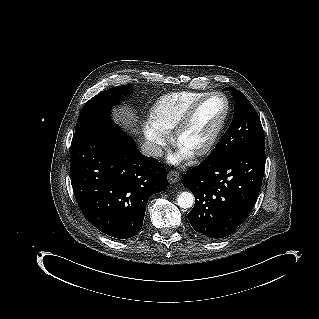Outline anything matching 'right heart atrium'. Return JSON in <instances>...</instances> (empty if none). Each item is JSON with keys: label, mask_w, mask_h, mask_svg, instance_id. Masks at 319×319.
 I'll return each mask as SVG.
<instances>
[{"label": "right heart atrium", "mask_w": 319, "mask_h": 319, "mask_svg": "<svg viewBox=\"0 0 319 319\" xmlns=\"http://www.w3.org/2000/svg\"><path fill=\"white\" fill-rule=\"evenodd\" d=\"M143 133L151 152L155 156L160 155L167 144L166 131L161 129L155 123L149 122L145 125Z\"/></svg>", "instance_id": "obj_1"}]
</instances>
